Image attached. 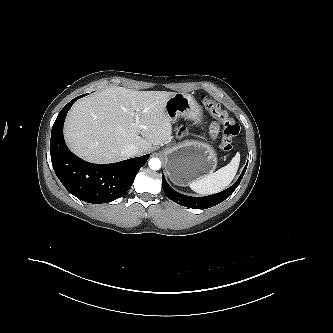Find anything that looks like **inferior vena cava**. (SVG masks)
<instances>
[{
    "label": "inferior vena cava",
    "instance_id": "inferior-vena-cava-1",
    "mask_svg": "<svg viewBox=\"0 0 333 333\" xmlns=\"http://www.w3.org/2000/svg\"><path fill=\"white\" fill-rule=\"evenodd\" d=\"M121 153L125 158L134 157L139 153V148L135 144H126L122 147Z\"/></svg>",
    "mask_w": 333,
    "mask_h": 333
}]
</instances>
